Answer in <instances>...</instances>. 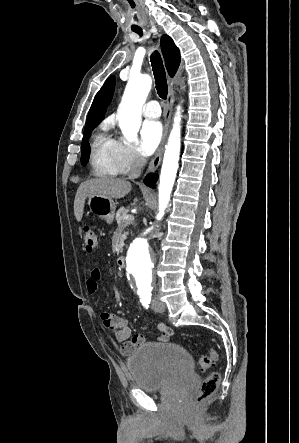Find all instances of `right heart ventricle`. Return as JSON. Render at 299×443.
<instances>
[{
  "mask_svg": "<svg viewBox=\"0 0 299 443\" xmlns=\"http://www.w3.org/2000/svg\"><path fill=\"white\" fill-rule=\"evenodd\" d=\"M90 165L92 173L99 177H113L121 173L116 159V141L104 132L93 138Z\"/></svg>",
  "mask_w": 299,
  "mask_h": 443,
  "instance_id": "e07e8e85",
  "label": "right heart ventricle"
}]
</instances>
